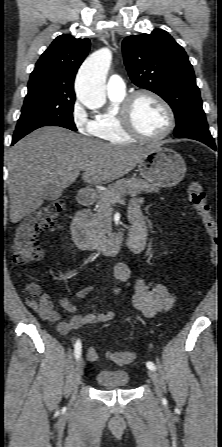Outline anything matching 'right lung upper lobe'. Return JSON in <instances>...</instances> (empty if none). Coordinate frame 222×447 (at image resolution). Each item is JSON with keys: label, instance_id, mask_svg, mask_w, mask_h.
I'll use <instances>...</instances> for the list:
<instances>
[{"label": "right lung upper lobe", "instance_id": "1", "mask_svg": "<svg viewBox=\"0 0 222 447\" xmlns=\"http://www.w3.org/2000/svg\"><path fill=\"white\" fill-rule=\"evenodd\" d=\"M89 49L88 38L77 39L68 34L58 36L37 61L28 88L47 85L56 92L75 96L74 79Z\"/></svg>", "mask_w": 222, "mask_h": 447}]
</instances>
